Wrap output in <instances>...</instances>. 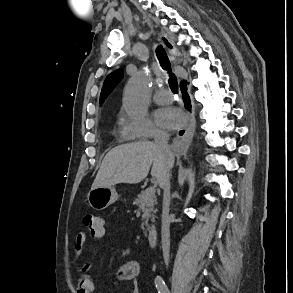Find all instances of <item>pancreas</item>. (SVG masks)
I'll use <instances>...</instances> for the list:
<instances>
[{
  "mask_svg": "<svg viewBox=\"0 0 293 293\" xmlns=\"http://www.w3.org/2000/svg\"><path fill=\"white\" fill-rule=\"evenodd\" d=\"M134 205L139 206V208L142 210V226L146 225L147 230H153L154 226L149 225V219H151L152 222H154V215L153 213L156 212V209H154V206L157 204V199L154 195L152 196H146V190L141 191V193L138 195V197L133 202ZM144 229V228H143ZM144 234H147V231H144Z\"/></svg>",
  "mask_w": 293,
  "mask_h": 293,
  "instance_id": "obj_1",
  "label": "pancreas"
}]
</instances>
